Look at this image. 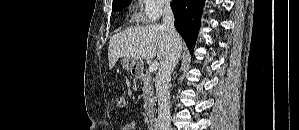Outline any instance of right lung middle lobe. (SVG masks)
<instances>
[{"mask_svg": "<svg viewBox=\"0 0 299 130\" xmlns=\"http://www.w3.org/2000/svg\"><path fill=\"white\" fill-rule=\"evenodd\" d=\"M132 0H116L112 4V10L123 9L124 7L128 6Z\"/></svg>", "mask_w": 299, "mask_h": 130, "instance_id": "obj_1", "label": "right lung middle lobe"}]
</instances>
